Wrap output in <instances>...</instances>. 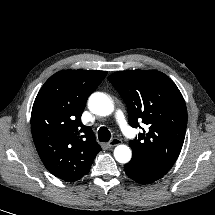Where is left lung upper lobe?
Instances as JSON below:
<instances>
[{"label":"left lung upper lobe","instance_id":"1","mask_svg":"<svg viewBox=\"0 0 215 215\" xmlns=\"http://www.w3.org/2000/svg\"><path fill=\"white\" fill-rule=\"evenodd\" d=\"M127 105L129 124L146 130L130 141V162L165 175L177 160L185 138L187 109L175 83L152 70L118 71L109 76Z\"/></svg>","mask_w":215,"mask_h":215}]
</instances>
